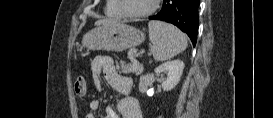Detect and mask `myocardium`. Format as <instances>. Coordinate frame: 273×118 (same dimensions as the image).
Masks as SVG:
<instances>
[{
    "mask_svg": "<svg viewBox=\"0 0 273 118\" xmlns=\"http://www.w3.org/2000/svg\"><path fill=\"white\" fill-rule=\"evenodd\" d=\"M158 4H159V0H153L152 6L148 10L139 12V13H132L126 9L124 0H117V5L119 9L121 10V12L123 13V15L131 19H139V18H145L150 16L157 10Z\"/></svg>",
    "mask_w": 273,
    "mask_h": 118,
    "instance_id": "obj_1",
    "label": "myocardium"
}]
</instances>
